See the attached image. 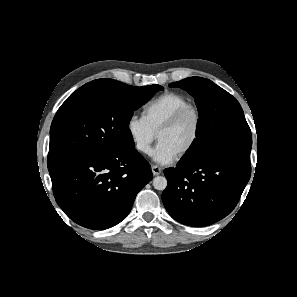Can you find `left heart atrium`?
Here are the masks:
<instances>
[{
  "mask_svg": "<svg viewBox=\"0 0 297 297\" xmlns=\"http://www.w3.org/2000/svg\"><path fill=\"white\" fill-rule=\"evenodd\" d=\"M153 160L159 164L165 165L174 161L178 153L164 142H158L152 152Z\"/></svg>",
  "mask_w": 297,
  "mask_h": 297,
  "instance_id": "obj_1",
  "label": "left heart atrium"
}]
</instances>
